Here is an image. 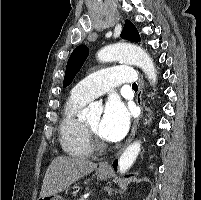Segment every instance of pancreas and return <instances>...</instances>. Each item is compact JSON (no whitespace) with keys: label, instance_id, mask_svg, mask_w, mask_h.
I'll return each mask as SVG.
<instances>
[{"label":"pancreas","instance_id":"pancreas-1","mask_svg":"<svg viewBox=\"0 0 201 200\" xmlns=\"http://www.w3.org/2000/svg\"><path fill=\"white\" fill-rule=\"evenodd\" d=\"M77 200H86L83 196L78 198Z\"/></svg>","mask_w":201,"mask_h":200}]
</instances>
